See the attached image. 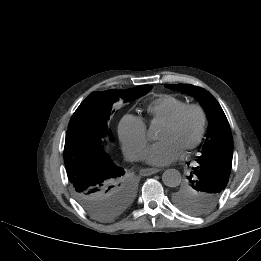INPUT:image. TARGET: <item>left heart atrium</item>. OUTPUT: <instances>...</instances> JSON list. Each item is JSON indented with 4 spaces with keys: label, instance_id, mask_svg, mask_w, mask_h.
Here are the masks:
<instances>
[{
    "label": "left heart atrium",
    "instance_id": "left-heart-atrium-1",
    "mask_svg": "<svg viewBox=\"0 0 261 261\" xmlns=\"http://www.w3.org/2000/svg\"><path fill=\"white\" fill-rule=\"evenodd\" d=\"M181 154V148L172 139H164L152 144L145 152V160L154 166H164L175 161Z\"/></svg>",
    "mask_w": 261,
    "mask_h": 261
}]
</instances>
